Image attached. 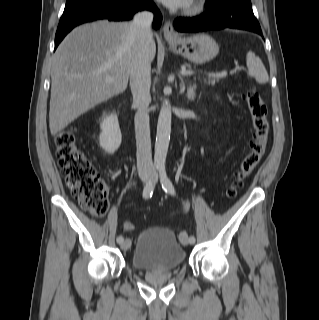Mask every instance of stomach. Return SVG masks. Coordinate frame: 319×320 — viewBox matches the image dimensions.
<instances>
[{
  "instance_id": "stomach-1",
  "label": "stomach",
  "mask_w": 319,
  "mask_h": 320,
  "mask_svg": "<svg viewBox=\"0 0 319 320\" xmlns=\"http://www.w3.org/2000/svg\"><path fill=\"white\" fill-rule=\"evenodd\" d=\"M169 43L178 55L196 64L207 63L219 53L218 44L207 34L178 37Z\"/></svg>"
}]
</instances>
